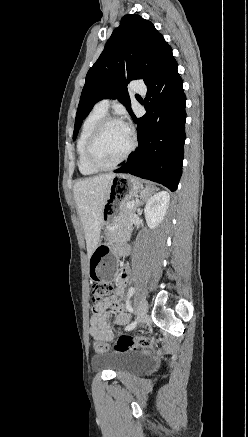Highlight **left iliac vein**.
<instances>
[{"instance_id": "left-iliac-vein-1", "label": "left iliac vein", "mask_w": 248, "mask_h": 437, "mask_svg": "<svg viewBox=\"0 0 248 437\" xmlns=\"http://www.w3.org/2000/svg\"><path fill=\"white\" fill-rule=\"evenodd\" d=\"M148 302L145 298H142L137 307V323L141 325L147 318Z\"/></svg>"}]
</instances>
